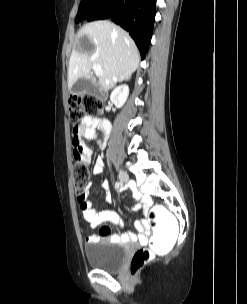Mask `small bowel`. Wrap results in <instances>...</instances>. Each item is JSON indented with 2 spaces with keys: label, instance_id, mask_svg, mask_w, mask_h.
Masks as SVG:
<instances>
[{
  "label": "small bowel",
  "instance_id": "small-bowel-1",
  "mask_svg": "<svg viewBox=\"0 0 247 304\" xmlns=\"http://www.w3.org/2000/svg\"><path fill=\"white\" fill-rule=\"evenodd\" d=\"M98 129H103L105 133H109L110 124L108 121H101L91 116L85 117L81 124L78 126L77 130H72V146L73 149L71 154L73 156L74 162H81L82 165H87L91 162L92 152L90 148L83 142L84 138L88 140H96L100 145L104 146V142L100 141L99 135L97 133ZM104 167V162L102 158H98L95 162L93 168V174L98 176L102 173ZM102 188L106 192L105 202L108 204L111 202L112 196L109 192L108 182L102 183ZM89 189L88 185L83 199L79 200L80 209L84 219L90 224L92 228H97L100 225H104L101 228L100 234H92L87 237L88 243L96 242L100 237L110 236L111 240L119 241L123 240L126 242H136L147 243L150 234V225L147 219H142L136 223V227L140 230V234L136 235L132 232H127L122 235L111 234L107 224H111L117 221V215L110 213L108 211L96 210L90 200H89ZM150 204V199L146 197L141 198L140 207H145Z\"/></svg>",
  "mask_w": 247,
  "mask_h": 304
}]
</instances>
